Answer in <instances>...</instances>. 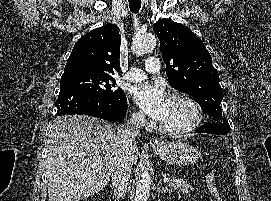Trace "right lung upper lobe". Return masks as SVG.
Listing matches in <instances>:
<instances>
[{
	"mask_svg": "<svg viewBox=\"0 0 271 201\" xmlns=\"http://www.w3.org/2000/svg\"><path fill=\"white\" fill-rule=\"evenodd\" d=\"M118 26L105 24L81 37L73 47L65 71L86 70L113 75L119 71L121 36Z\"/></svg>",
	"mask_w": 271,
	"mask_h": 201,
	"instance_id": "1",
	"label": "right lung upper lobe"
}]
</instances>
